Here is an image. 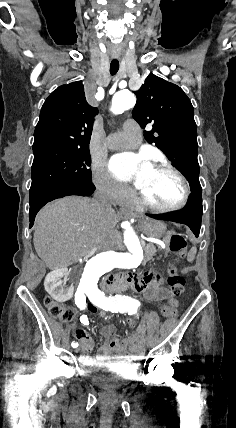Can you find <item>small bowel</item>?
<instances>
[{"instance_id":"c3829d8e","label":"small bowel","mask_w":236,"mask_h":428,"mask_svg":"<svg viewBox=\"0 0 236 428\" xmlns=\"http://www.w3.org/2000/svg\"><path fill=\"white\" fill-rule=\"evenodd\" d=\"M161 277L153 272L140 277L133 290L142 293L150 302H159L168 300L170 304L175 305V300L170 293L162 287ZM101 317H106L107 312L100 311ZM116 329L113 325H107L102 328L101 334L104 337L103 344L99 347L97 354H91L94 342L90 335L83 329L76 330V337L82 345L80 355L81 362L85 366L94 367L101 360H136L141 357L144 349V329L141 328L136 334L126 338L115 336Z\"/></svg>"}]
</instances>
